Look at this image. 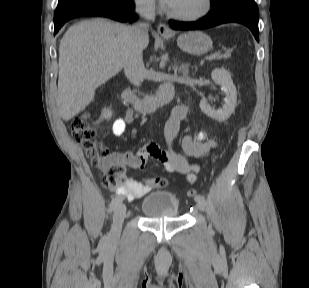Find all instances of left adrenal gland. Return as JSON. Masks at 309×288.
<instances>
[{"label":"left adrenal gland","mask_w":309,"mask_h":288,"mask_svg":"<svg viewBox=\"0 0 309 288\" xmlns=\"http://www.w3.org/2000/svg\"><path fill=\"white\" fill-rule=\"evenodd\" d=\"M188 66V64H182L178 67L177 63H174L173 70L175 75H177L178 72H181L183 76H186L188 74Z\"/></svg>","instance_id":"obj_1"}]
</instances>
